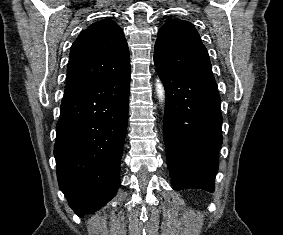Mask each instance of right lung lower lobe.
Listing matches in <instances>:
<instances>
[{"instance_id":"right-lung-lower-lobe-1","label":"right lung lower lobe","mask_w":283,"mask_h":235,"mask_svg":"<svg viewBox=\"0 0 283 235\" xmlns=\"http://www.w3.org/2000/svg\"><path fill=\"white\" fill-rule=\"evenodd\" d=\"M129 86L130 72L62 99L54 148L57 177L78 215L104 207L119 187Z\"/></svg>"}]
</instances>
